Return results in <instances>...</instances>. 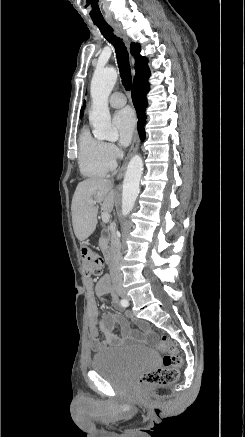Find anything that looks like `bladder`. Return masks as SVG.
Segmentation results:
<instances>
[{
    "label": "bladder",
    "mask_w": 245,
    "mask_h": 437,
    "mask_svg": "<svg viewBox=\"0 0 245 437\" xmlns=\"http://www.w3.org/2000/svg\"><path fill=\"white\" fill-rule=\"evenodd\" d=\"M156 363V353L148 348H107L93 356L91 368L110 383L124 386L138 374L153 368Z\"/></svg>",
    "instance_id": "1"
}]
</instances>
